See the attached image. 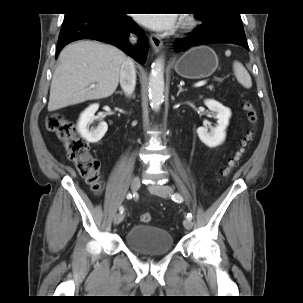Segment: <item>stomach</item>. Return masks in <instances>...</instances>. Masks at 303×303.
<instances>
[{"mask_svg": "<svg viewBox=\"0 0 303 303\" xmlns=\"http://www.w3.org/2000/svg\"><path fill=\"white\" fill-rule=\"evenodd\" d=\"M218 67V57L208 46L202 45L186 51L175 63L176 73L187 79L211 76Z\"/></svg>", "mask_w": 303, "mask_h": 303, "instance_id": "1", "label": "stomach"}]
</instances>
